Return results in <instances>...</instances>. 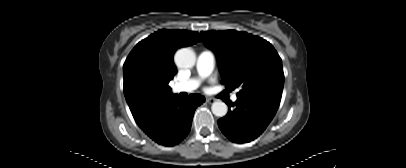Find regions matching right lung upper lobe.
<instances>
[{
	"instance_id": "1",
	"label": "right lung upper lobe",
	"mask_w": 406,
	"mask_h": 168,
	"mask_svg": "<svg viewBox=\"0 0 406 168\" xmlns=\"http://www.w3.org/2000/svg\"><path fill=\"white\" fill-rule=\"evenodd\" d=\"M197 32L159 30L139 42L124 66V94L134 119L172 95L168 83L176 74L175 51L200 41Z\"/></svg>"
}]
</instances>
